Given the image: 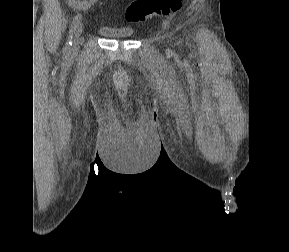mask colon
Segmentation results:
<instances>
[{"mask_svg": "<svg viewBox=\"0 0 289 252\" xmlns=\"http://www.w3.org/2000/svg\"><path fill=\"white\" fill-rule=\"evenodd\" d=\"M184 0H133L127 7L126 19L142 22L153 16H167L178 12Z\"/></svg>", "mask_w": 289, "mask_h": 252, "instance_id": "colon-1", "label": "colon"}]
</instances>
